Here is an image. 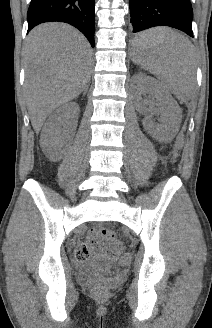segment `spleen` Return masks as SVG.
I'll return each instance as SVG.
<instances>
[{
  "instance_id": "spleen-1",
  "label": "spleen",
  "mask_w": 212,
  "mask_h": 328,
  "mask_svg": "<svg viewBox=\"0 0 212 328\" xmlns=\"http://www.w3.org/2000/svg\"><path fill=\"white\" fill-rule=\"evenodd\" d=\"M141 45L134 61L161 77L175 95H185L195 87V62L189 40L168 28H153L137 36ZM144 56H147L144 58Z\"/></svg>"
}]
</instances>
